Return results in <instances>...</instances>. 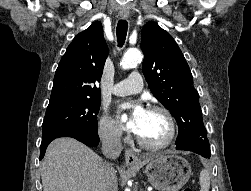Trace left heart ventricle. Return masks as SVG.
<instances>
[{
    "label": "left heart ventricle",
    "instance_id": "b2bd125f",
    "mask_svg": "<svg viewBox=\"0 0 251 191\" xmlns=\"http://www.w3.org/2000/svg\"><path fill=\"white\" fill-rule=\"evenodd\" d=\"M168 134L169 127L164 115L148 111L139 135L149 143L160 144L167 139Z\"/></svg>",
    "mask_w": 251,
    "mask_h": 191
}]
</instances>
